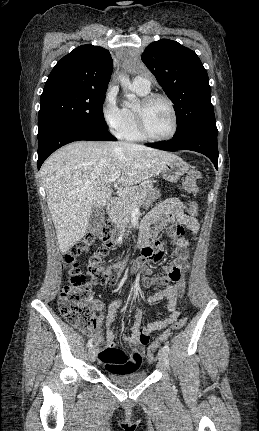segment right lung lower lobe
<instances>
[{
	"instance_id": "right-lung-lower-lobe-1",
	"label": "right lung lower lobe",
	"mask_w": 259,
	"mask_h": 431,
	"mask_svg": "<svg viewBox=\"0 0 259 431\" xmlns=\"http://www.w3.org/2000/svg\"><path fill=\"white\" fill-rule=\"evenodd\" d=\"M80 140L116 141L108 129H99L72 121L52 123L38 132V169L55 150Z\"/></svg>"
}]
</instances>
